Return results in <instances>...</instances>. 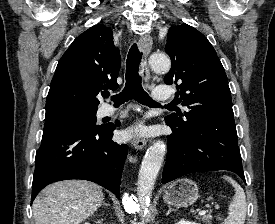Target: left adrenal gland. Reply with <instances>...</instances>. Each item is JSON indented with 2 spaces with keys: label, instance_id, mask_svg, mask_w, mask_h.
<instances>
[{
  "label": "left adrenal gland",
  "instance_id": "a2214340",
  "mask_svg": "<svg viewBox=\"0 0 275 224\" xmlns=\"http://www.w3.org/2000/svg\"><path fill=\"white\" fill-rule=\"evenodd\" d=\"M172 211H176V210H174V209H172L171 207H169V210H168V212L166 213V215H169Z\"/></svg>",
  "mask_w": 275,
  "mask_h": 224
}]
</instances>
